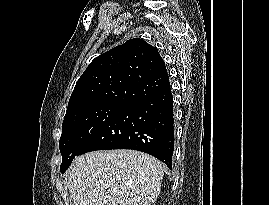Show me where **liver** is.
I'll return each instance as SVG.
<instances>
[{
    "label": "liver",
    "instance_id": "1",
    "mask_svg": "<svg viewBox=\"0 0 269 205\" xmlns=\"http://www.w3.org/2000/svg\"><path fill=\"white\" fill-rule=\"evenodd\" d=\"M163 166L135 150H105L77 157L67 186L73 205H151L161 190Z\"/></svg>",
    "mask_w": 269,
    "mask_h": 205
}]
</instances>
